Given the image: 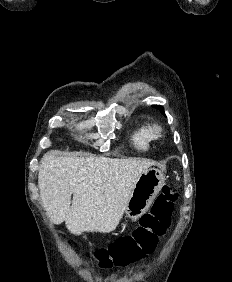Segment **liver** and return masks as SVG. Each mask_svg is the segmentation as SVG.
Instances as JSON below:
<instances>
[{
  "instance_id": "6515ba94",
  "label": "liver",
  "mask_w": 232,
  "mask_h": 282,
  "mask_svg": "<svg viewBox=\"0 0 232 282\" xmlns=\"http://www.w3.org/2000/svg\"><path fill=\"white\" fill-rule=\"evenodd\" d=\"M154 164L140 159L60 156L52 150L39 167L40 197L51 222L65 221L72 234L109 233L123 217L137 179Z\"/></svg>"
}]
</instances>
